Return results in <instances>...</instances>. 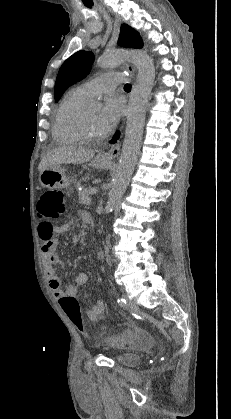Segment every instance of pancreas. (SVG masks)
Returning a JSON list of instances; mask_svg holds the SVG:
<instances>
[{
	"label": "pancreas",
	"instance_id": "obj_1",
	"mask_svg": "<svg viewBox=\"0 0 231 419\" xmlns=\"http://www.w3.org/2000/svg\"><path fill=\"white\" fill-rule=\"evenodd\" d=\"M78 187L80 186L79 184L77 185ZM90 190L91 188H83L82 191L78 192L79 195V203L82 205H89L91 204V198H90Z\"/></svg>",
	"mask_w": 231,
	"mask_h": 419
}]
</instances>
